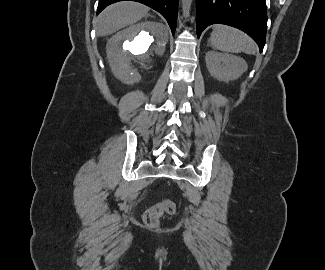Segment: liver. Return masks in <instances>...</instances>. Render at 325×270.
I'll use <instances>...</instances> for the list:
<instances>
[{"label": "liver", "instance_id": "1", "mask_svg": "<svg viewBox=\"0 0 325 270\" xmlns=\"http://www.w3.org/2000/svg\"><path fill=\"white\" fill-rule=\"evenodd\" d=\"M149 8L143 4L123 1L104 9L96 19L99 36L111 35L118 30L138 22L148 14Z\"/></svg>", "mask_w": 325, "mask_h": 270}]
</instances>
